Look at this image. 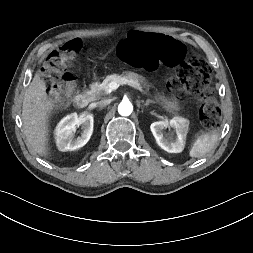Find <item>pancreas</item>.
Instances as JSON below:
<instances>
[{
	"label": "pancreas",
	"instance_id": "pancreas-1",
	"mask_svg": "<svg viewBox=\"0 0 253 253\" xmlns=\"http://www.w3.org/2000/svg\"><path fill=\"white\" fill-rule=\"evenodd\" d=\"M121 80H131L137 84L139 82L137 77L134 75H128V76H123V75H118V74L108 75L106 76V78L103 80L101 84H98L96 87L93 88L94 95L99 97L101 95L109 94L111 92L109 89V84L111 82H120ZM162 101H163L162 104L167 110L169 111L179 110V108L177 107L175 103L170 102L167 99H162Z\"/></svg>",
	"mask_w": 253,
	"mask_h": 253
}]
</instances>
